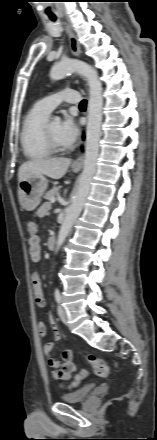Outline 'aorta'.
Listing matches in <instances>:
<instances>
[{"label":"aorta","mask_w":157,"mask_h":440,"mask_svg":"<svg viewBox=\"0 0 157 440\" xmlns=\"http://www.w3.org/2000/svg\"><path fill=\"white\" fill-rule=\"evenodd\" d=\"M76 72L86 78L89 86L88 122L86 128L85 157L82 174L80 175L78 188L72 204L66 210L64 221L60 227L56 252L65 242L74 221L80 215L86 198L90 192L91 182L96 171L99 153V139L102 122V84L96 70L89 64L79 60H68L54 65L50 71V77L54 80L63 79L67 74ZM55 121L59 122L58 117Z\"/></svg>","instance_id":"762f6f07"}]
</instances>
